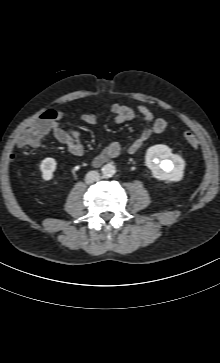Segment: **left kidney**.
<instances>
[{
	"label": "left kidney",
	"mask_w": 220,
	"mask_h": 363,
	"mask_svg": "<svg viewBox=\"0 0 220 363\" xmlns=\"http://www.w3.org/2000/svg\"><path fill=\"white\" fill-rule=\"evenodd\" d=\"M145 162L153 177L159 180L180 181L184 173V160L172 153L164 144L151 146L146 151Z\"/></svg>",
	"instance_id": "5707ae66"
}]
</instances>
